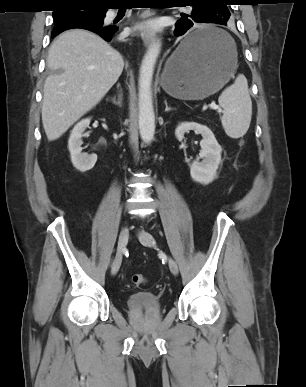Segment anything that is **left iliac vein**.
Returning a JSON list of instances; mask_svg holds the SVG:
<instances>
[{
  "mask_svg": "<svg viewBox=\"0 0 306 387\" xmlns=\"http://www.w3.org/2000/svg\"><path fill=\"white\" fill-rule=\"evenodd\" d=\"M139 241L144 246H148V247L155 246L153 236L146 231H142L139 233ZM168 265H169V269H170L171 273L174 275H177L178 274V265L175 262V260H173L172 258L169 257L168 258Z\"/></svg>",
  "mask_w": 306,
  "mask_h": 387,
  "instance_id": "left-iliac-vein-1",
  "label": "left iliac vein"
}]
</instances>
